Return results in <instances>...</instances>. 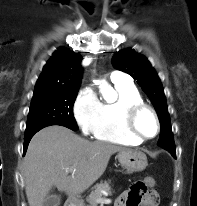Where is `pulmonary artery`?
Returning <instances> with one entry per match:
<instances>
[{"label":"pulmonary artery","instance_id":"e3ab8cb5","mask_svg":"<svg viewBox=\"0 0 197 206\" xmlns=\"http://www.w3.org/2000/svg\"><path fill=\"white\" fill-rule=\"evenodd\" d=\"M110 78L113 83H130L131 82L130 77L120 71H113L111 73Z\"/></svg>","mask_w":197,"mask_h":206}]
</instances>
